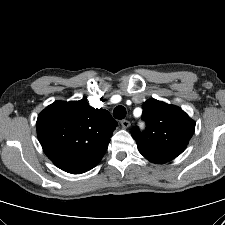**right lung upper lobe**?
I'll list each match as a JSON object with an SVG mask.
<instances>
[{
  "mask_svg": "<svg viewBox=\"0 0 225 225\" xmlns=\"http://www.w3.org/2000/svg\"><path fill=\"white\" fill-rule=\"evenodd\" d=\"M117 122L86 100L56 101L38 116L36 129L48 158L61 170L81 174L102 159Z\"/></svg>",
  "mask_w": 225,
  "mask_h": 225,
  "instance_id": "cb5924a9",
  "label": "right lung upper lobe"
}]
</instances>
